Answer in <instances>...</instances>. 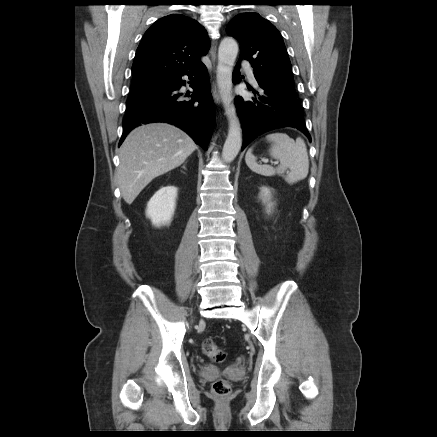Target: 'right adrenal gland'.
Instances as JSON below:
<instances>
[{
    "instance_id": "1",
    "label": "right adrenal gland",
    "mask_w": 437,
    "mask_h": 437,
    "mask_svg": "<svg viewBox=\"0 0 437 437\" xmlns=\"http://www.w3.org/2000/svg\"><path fill=\"white\" fill-rule=\"evenodd\" d=\"M182 168H183L184 170H186V167H185V165H183V166H182Z\"/></svg>"
}]
</instances>
